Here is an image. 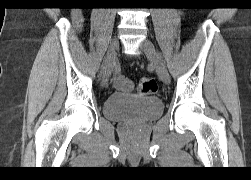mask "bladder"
I'll list each match as a JSON object with an SVG mask.
<instances>
[{"label": "bladder", "instance_id": "31cf9c89", "mask_svg": "<svg viewBox=\"0 0 251 180\" xmlns=\"http://www.w3.org/2000/svg\"><path fill=\"white\" fill-rule=\"evenodd\" d=\"M163 108V102L155 96L113 93L103 104V115L112 121L144 122L158 118Z\"/></svg>", "mask_w": 251, "mask_h": 180}]
</instances>
